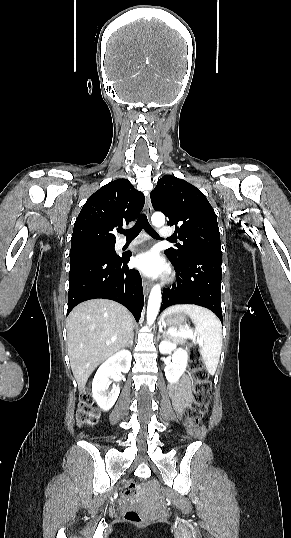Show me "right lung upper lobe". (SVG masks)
I'll return each instance as SVG.
<instances>
[{
  "label": "right lung upper lobe",
  "mask_w": 291,
  "mask_h": 538,
  "mask_svg": "<svg viewBox=\"0 0 291 538\" xmlns=\"http://www.w3.org/2000/svg\"><path fill=\"white\" fill-rule=\"evenodd\" d=\"M144 202L143 193L129 180L117 179L101 187L89 197L75 221L71 249L115 245L113 230L136 220Z\"/></svg>",
  "instance_id": "obj_1"
}]
</instances>
